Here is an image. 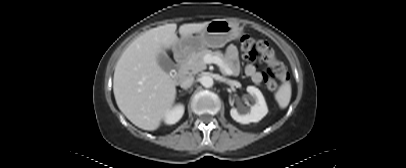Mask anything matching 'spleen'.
<instances>
[{"label": "spleen", "mask_w": 406, "mask_h": 168, "mask_svg": "<svg viewBox=\"0 0 406 168\" xmlns=\"http://www.w3.org/2000/svg\"><path fill=\"white\" fill-rule=\"evenodd\" d=\"M291 84L289 81H284V83L279 87L275 93V99L281 109H285L291 99Z\"/></svg>", "instance_id": "spleen-1"}]
</instances>
